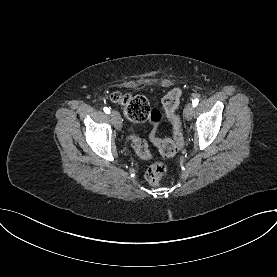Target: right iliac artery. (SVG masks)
Wrapping results in <instances>:
<instances>
[{"label":"right iliac artery","mask_w":277,"mask_h":277,"mask_svg":"<svg viewBox=\"0 0 277 277\" xmlns=\"http://www.w3.org/2000/svg\"><path fill=\"white\" fill-rule=\"evenodd\" d=\"M104 112L109 114L110 113V109L108 107H104Z\"/></svg>","instance_id":"right-iliac-artery-1"}]
</instances>
